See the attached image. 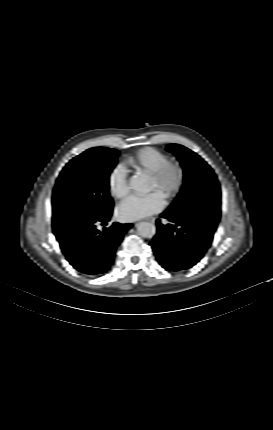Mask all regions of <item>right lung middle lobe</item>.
Segmentation results:
<instances>
[{"instance_id":"dd1d6c3e","label":"right lung middle lobe","mask_w":273,"mask_h":430,"mask_svg":"<svg viewBox=\"0 0 273 430\" xmlns=\"http://www.w3.org/2000/svg\"><path fill=\"white\" fill-rule=\"evenodd\" d=\"M118 151L88 149L63 168L53 191L52 227L55 235L87 224L113 209L109 176Z\"/></svg>"}]
</instances>
